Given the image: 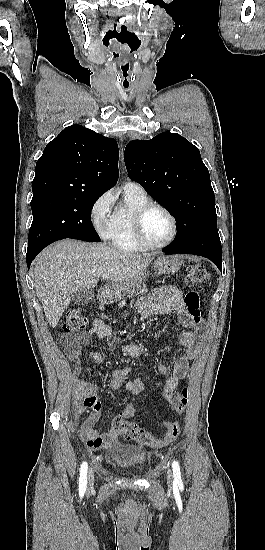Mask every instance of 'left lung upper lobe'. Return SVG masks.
Returning a JSON list of instances; mask_svg holds the SVG:
<instances>
[{
  "mask_svg": "<svg viewBox=\"0 0 265 550\" xmlns=\"http://www.w3.org/2000/svg\"><path fill=\"white\" fill-rule=\"evenodd\" d=\"M124 159L129 177L174 216L175 247L222 256L210 175L196 146L163 132L129 142Z\"/></svg>",
  "mask_w": 265,
  "mask_h": 550,
  "instance_id": "1",
  "label": "left lung upper lobe"
}]
</instances>
